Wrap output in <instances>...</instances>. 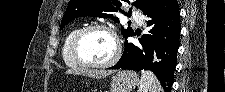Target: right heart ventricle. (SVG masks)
<instances>
[{"label": "right heart ventricle", "mask_w": 225, "mask_h": 92, "mask_svg": "<svg viewBox=\"0 0 225 92\" xmlns=\"http://www.w3.org/2000/svg\"><path fill=\"white\" fill-rule=\"evenodd\" d=\"M80 29H81V27L77 26V27H74L71 30H69L64 37V41H63V45H62V51H61L62 59L67 66L72 67V68H77L79 66L75 63V61L73 60L72 55L70 53V43H71V40L74 37V35Z\"/></svg>", "instance_id": "obj_1"}]
</instances>
